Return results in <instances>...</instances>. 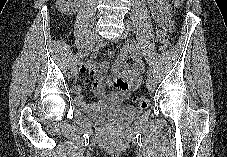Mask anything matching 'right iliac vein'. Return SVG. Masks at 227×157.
Wrapping results in <instances>:
<instances>
[{"label":"right iliac vein","mask_w":227,"mask_h":157,"mask_svg":"<svg viewBox=\"0 0 227 157\" xmlns=\"http://www.w3.org/2000/svg\"><path fill=\"white\" fill-rule=\"evenodd\" d=\"M98 39H99L98 33L95 31L92 32L90 35L89 41H88L89 44H87V48H90V45H93V43L97 42ZM71 73L73 75L77 74V63H75V62L71 65Z\"/></svg>","instance_id":"obj_1"}]
</instances>
